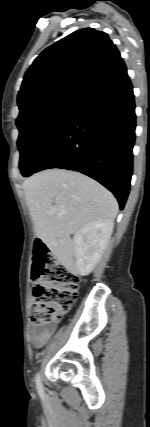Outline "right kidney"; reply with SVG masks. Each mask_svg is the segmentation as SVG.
Segmentation results:
<instances>
[{"label":"right kidney","mask_w":150,"mask_h":427,"mask_svg":"<svg viewBox=\"0 0 150 427\" xmlns=\"http://www.w3.org/2000/svg\"><path fill=\"white\" fill-rule=\"evenodd\" d=\"M113 227V221L91 222L75 233L73 251L79 275L86 276L92 272L107 247Z\"/></svg>","instance_id":"obj_1"}]
</instances>
